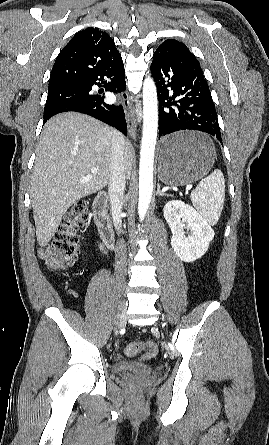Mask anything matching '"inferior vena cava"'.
I'll return each instance as SVG.
<instances>
[{"instance_id": "inferior-vena-cava-1", "label": "inferior vena cava", "mask_w": 269, "mask_h": 445, "mask_svg": "<svg viewBox=\"0 0 269 445\" xmlns=\"http://www.w3.org/2000/svg\"><path fill=\"white\" fill-rule=\"evenodd\" d=\"M124 136L114 130L112 143V176L108 185V193L112 210V217L115 229L121 232L122 221L121 211L126 189L125 163H124Z\"/></svg>"}]
</instances>
